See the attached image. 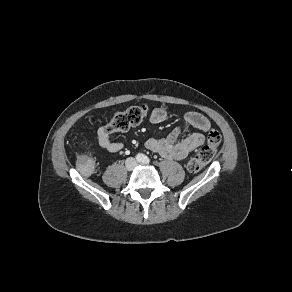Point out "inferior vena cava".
<instances>
[{
	"label": "inferior vena cava",
	"instance_id": "602c4592",
	"mask_svg": "<svg viewBox=\"0 0 292 292\" xmlns=\"http://www.w3.org/2000/svg\"><path fill=\"white\" fill-rule=\"evenodd\" d=\"M137 164H138V162L133 157H129L125 161V165H126V168L128 170H131L132 168H134L135 166H137Z\"/></svg>",
	"mask_w": 292,
	"mask_h": 292
}]
</instances>
